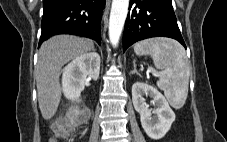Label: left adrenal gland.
<instances>
[{
    "label": "left adrenal gland",
    "mask_w": 227,
    "mask_h": 142,
    "mask_svg": "<svg viewBox=\"0 0 227 142\" xmlns=\"http://www.w3.org/2000/svg\"><path fill=\"white\" fill-rule=\"evenodd\" d=\"M135 73H137V71H136V67H135V65H134V70L131 71L130 74H135Z\"/></svg>",
    "instance_id": "a2214340"
}]
</instances>
